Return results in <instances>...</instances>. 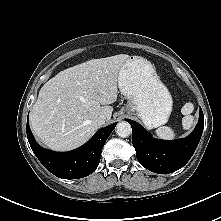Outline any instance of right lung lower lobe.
I'll return each mask as SVG.
<instances>
[{"instance_id": "obj_1", "label": "right lung lower lobe", "mask_w": 221, "mask_h": 221, "mask_svg": "<svg viewBox=\"0 0 221 221\" xmlns=\"http://www.w3.org/2000/svg\"><path fill=\"white\" fill-rule=\"evenodd\" d=\"M116 124L100 129L87 143L69 152L42 148L35 141L28 120L27 138L32 151L48 171L59 178L78 179L90 175L98 167L103 146Z\"/></svg>"}]
</instances>
